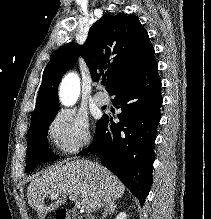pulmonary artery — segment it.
Segmentation results:
<instances>
[{"mask_svg":"<svg viewBox=\"0 0 211 219\" xmlns=\"http://www.w3.org/2000/svg\"><path fill=\"white\" fill-rule=\"evenodd\" d=\"M94 102L99 106L106 105L109 102V97L104 92H97L94 96Z\"/></svg>","mask_w":211,"mask_h":219,"instance_id":"e3ab8cb5","label":"pulmonary artery"}]
</instances>
